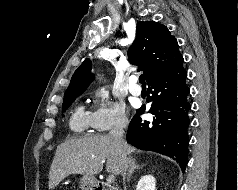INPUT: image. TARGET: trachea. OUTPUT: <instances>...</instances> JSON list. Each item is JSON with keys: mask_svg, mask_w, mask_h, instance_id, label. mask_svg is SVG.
I'll return each mask as SVG.
<instances>
[{"mask_svg": "<svg viewBox=\"0 0 238 190\" xmlns=\"http://www.w3.org/2000/svg\"><path fill=\"white\" fill-rule=\"evenodd\" d=\"M139 82H140L143 86L146 85V84H145V78H144L143 75H141V76L139 77Z\"/></svg>", "mask_w": 238, "mask_h": 190, "instance_id": "3493384b", "label": "trachea"}]
</instances>
